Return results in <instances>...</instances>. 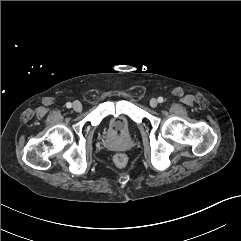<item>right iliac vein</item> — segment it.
I'll return each mask as SVG.
<instances>
[{"instance_id":"63e3f726","label":"right iliac vein","mask_w":241,"mask_h":241,"mask_svg":"<svg viewBox=\"0 0 241 241\" xmlns=\"http://www.w3.org/2000/svg\"><path fill=\"white\" fill-rule=\"evenodd\" d=\"M73 110L76 112H80L82 110V104L79 101H75L73 103Z\"/></svg>"}]
</instances>
